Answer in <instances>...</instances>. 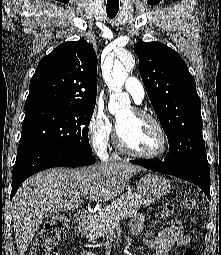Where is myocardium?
I'll return each instance as SVG.
<instances>
[{
  "mask_svg": "<svg viewBox=\"0 0 221 255\" xmlns=\"http://www.w3.org/2000/svg\"><path fill=\"white\" fill-rule=\"evenodd\" d=\"M131 111L137 117L151 122L156 127V129L158 130V132L160 134L161 147L157 152L152 153V154H145V153L135 151L134 149L130 148L125 143L123 138L120 136L118 130L116 129V131H115V143H116L117 148L122 153L127 154V155L132 156V157H135V158H140V159H145V160H155V159L162 158L168 150V138H167L166 131L163 128L162 124L158 121L157 118H155L153 115H151L150 113H148L144 110H141V109H138V108H133Z\"/></svg>",
  "mask_w": 221,
  "mask_h": 255,
  "instance_id": "myocardium-1",
  "label": "myocardium"
}]
</instances>
